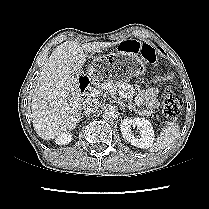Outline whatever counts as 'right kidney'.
Segmentation results:
<instances>
[{"instance_id": "ca27d5eb", "label": "right kidney", "mask_w": 209, "mask_h": 209, "mask_svg": "<svg viewBox=\"0 0 209 209\" xmlns=\"http://www.w3.org/2000/svg\"><path fill=\"white\" fill-rule=\"evenodd\" d=\"M72 140V134L69 132H64L61 133L57 138H56V144L58 145H65Z\"/></svg>"}]
</instances>
